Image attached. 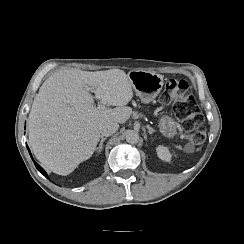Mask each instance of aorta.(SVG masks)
Listing matches in <instances>:
<instances>
[{"instance_id":"obj_1","label":"aorta","mask_w":244,"mask_h":244,"mask_svg":"<svg viewBox=\"0 0 244 244\" xmlns=\"http://www.w3.org/2000/svg\"><path fill=\"white\" fill-rule=\"evenodd\" d=\"M126 141L130 144H136L139 141V133L133 130H129L126 133Z\"/></svg>"}]
</instances>
